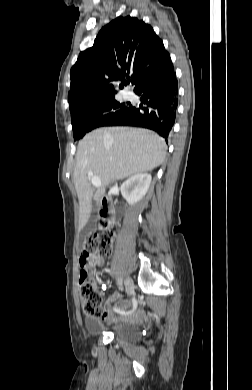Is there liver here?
I'll return each mask as SVG.
<instances>
[{"label":"liver","mask_w":252,"mask_h":390,"mask_svg":"<svg viewBox=\"0 0 252 390\" xmlns=\"http://www.w3.org/2000/svg\"><path fill=\"white\" fill-rule=\"evenodd\" d=\"M166 148L162 137L142 128H99L85 135L78 144L73 174L80 204L79 229L90 218L93 197L100 200L111 181L152 171L161 165ZM89 172L101 180L96 191Z\"/></svg>","instance_id":"liver-1"}]
</instances>
